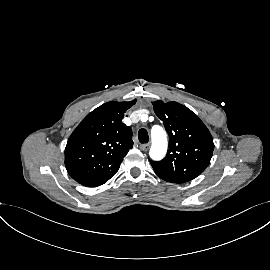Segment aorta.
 Masks as SVG:
<instances>
[{
	"label": "aorta",
	"mask_w": 270,
	"mask_h": 270,
	"mask_svg": "<svg viewBox=\"0 0 270 270\" xmlns=\"http://www.w3.org/2000/svg\"><path fill=\"white\" fill-rule=\"evenodd\" d=\"M152 146L150 157L153 160H161L167 151V138L165 131L160 126H154L151 130Z\"/></svg>",
	"instance_id": "obj_1"
}]
</instances>
